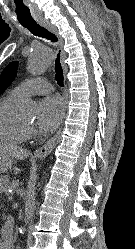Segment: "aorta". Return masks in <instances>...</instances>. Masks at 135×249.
<instances>
[{"mask_svg":"<svg viewBox=\"0 0 135 249\" xmlns=\"http://www.w3.org/2000/svg\"><path fill=\"white\" fill-rule=\"evenodd\" d=\"M52 60L53 52L50 48L43 45L35 47L28 58L27 70L33 76L41 75L50 67ZM35 190L30 191L32 198L35 196Z\"/></svg>","mask_w":135,"mask_h":249,"instance_id":"aorta-1","label":"aorta"}]
</instances>
